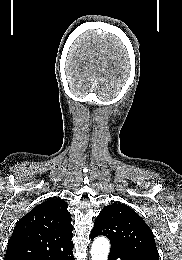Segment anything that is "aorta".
I'll list each match as a JSON object with an SVG mask.
<instances>
[{"label": "aorta", "instance_id": "1", "mask_svg": "<svg viewBox=\"0 0 182 260\" xmlns=\"http://www.w3.org/2000/svg\"><path fill=\"white\" fill-rule=\"evenodd\" d=\"M110 243L105 237H98L93 241L91 248V260H107Z\"/></svg>", "mask_w": 182, "mask_h": 260}]
</instances>
